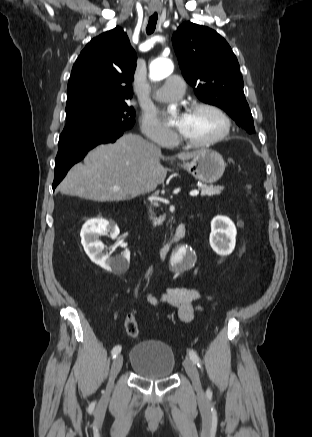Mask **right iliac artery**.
Returning a JSON list of instances; mask_svg holds the SVG:
<instances>
[{
  "instance_id": "right-iliac-artery-1",
  "label": "right iliac artery",
  "mask_w": 312,
  "mask_h": 437,
  "mask_svg": "<svg viewBox=\"0 0 312 437\" xmlns=\"http://www.w3.org/2000/svg\"><path fill=\"white\" fill-rule=\"evenodd\" d=\"M121 352V346L117 345L112 349V358H116V356Z\"/></svg>"
}]
</instances>
